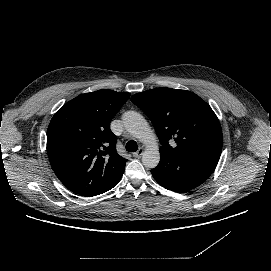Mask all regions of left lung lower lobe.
<instances>
[{"mask_svg": "<svg viewBox=\"0 0 271 271\" xmlns=\"http://www.w3.org/2000/svg\"><path fill=\"white\" fill-rule=\"evenodd\" d=\"M217 163L215 159L160 150V162L151 173L164 188L183 193L205 182Z\"/></svg>", "mask_w": 271, "mask_h": 271, "instance_id": "0a47b994", "label": "left lung lower lobe"}]
</instances>
